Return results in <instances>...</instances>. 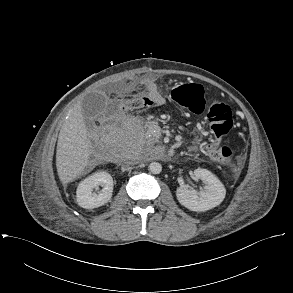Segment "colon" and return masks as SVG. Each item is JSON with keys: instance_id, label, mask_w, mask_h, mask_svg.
<instances>
[{"instance_id": "5ec220e1", "label": "colon", "mask_w": 293, "mask_h": 293, "mask_svg": "<svg viewBox=\"0 0 293 293\" xmlns=\"http://www.w3.org/2000/svg\"><path fill=\"white\" fill-rule=\"evenodd\" d=\"M171 99L177 105L194 114H202L206 110L204 90L200 84L186 83L176 86L171 91ZM154 103L150 94H140L120 101L117 109L121 111L146 108ZM207 122L214 139L205 146L208 156L216 162L232 166L235 153L227 146H219V139L232 128L233 119L230 107L222 102L211 103L207 109Z\"/></svg>"}]
</instances>
